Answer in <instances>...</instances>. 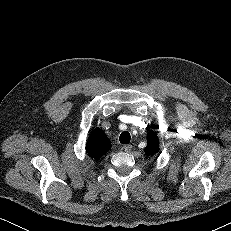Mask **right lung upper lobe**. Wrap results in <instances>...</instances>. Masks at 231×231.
Masks as SVG:
<instances>
[{
	"instance_id": "cb5924a9",
	"label": "right lung upper lobe",
	"mask_w": 231,
	"mask_h": 231,
	"mask_svg": "<svg viewBox=\"0 0 231 231\" xmlns=\"http://www.w3.org/2000/svg\"><path fill=\"white\" fill-rule=\"evenodd\" d=\"M111 149V142L101 129H95L89 135L86 152L92 159H98Z\"/></svg>"
}]
</instances>
